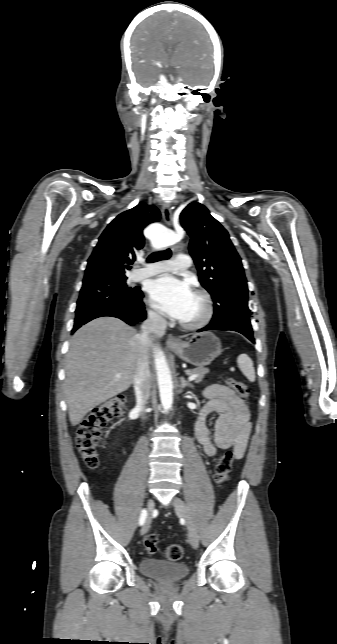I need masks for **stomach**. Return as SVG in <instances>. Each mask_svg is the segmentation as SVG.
Listing matches in <instances>:
<instances>
[{
  "mask_svg": "<svg viewBox=\"0 0 337 644\" xmlns=\"http://www.w3.org/2000/svg\"><path fill=\"white\" fill-rule=\"evenodd\" d=\"M171 349L183 361L204 368L222 353L221 342L211 332L194 334L187 342H180Z\"/></svg>",
  "mask_w": 337,
  "mask_h": 644,
  "instance_id": "1",
  "label": "stomach"
}]
</instances>
